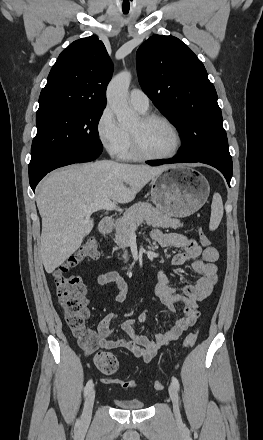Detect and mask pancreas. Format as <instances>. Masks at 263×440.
<instances>
[{
	"instance_id": "obj_1",
	"label": "pancreas",
	"mask_w": 263,
	"mask_h": 440,
	"mask_svg": "<svg viewBox=\"0 0 263 440\" xmlns=\"http://www.w3.org/2000/svg\"><path fill=\"white\" fill-rule=\"evenodd\" d=\"M143 221H146L148 225L160 228L177 229L183 226L178 219L164 214L160 210L154 208L150 203H136L125 211L123 217L117 219L115 224L116 233L114 242L120 248L125 249L128 245V240L132 231ZM115 250H117V248H115ZM123 258L127 261L126 251Z\"/></svg>"
}]
</instances>
